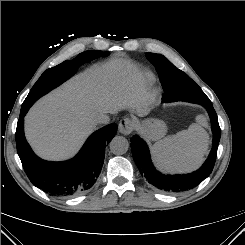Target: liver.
I'll return each mask as SVG.
<instances>
[{"instance_id":"1","label":"liver","mask_w":245,"mask_h":245,"mask_svg":"<svg viewBox=\"0 0 245 245\" xmlns=\"http://www.w3.org/2000/svg\"><path fill=\"white\" fill-rule=\"evenodd\" d=\"M130 61L112 59L90 68L40 99L25 117V133L42 158L74 155L95 129V119L121 109L140 114L142 91Z\"/></svg>"}]
</instances>
